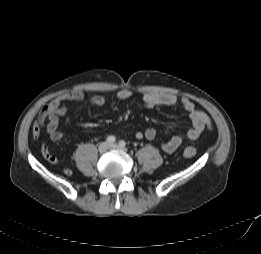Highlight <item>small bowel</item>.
Wrapping results in <instances>:
<instances>
[{"label": "small bowel", "mask_w": 261, "mask_h": 254, "mask_svg": "<svg viewBox=\"0 0 261 254\" xmlns=\"http://www.w3.org/2000/svg\"><path fill=\"white\" fill-rule=\"evenodd\" d=\"M132 92L128 89H121L117 92L119 99H128ZM85 99V94L80 90H71L64 92L50 102H48L40 111L37 119L32 125V138L38 140L45 123L46 130L51 140L60 141L64 133L59 130L60 117L67 113L66 102H78ZM90 101L97 105L103 106L106 102L105 97L100 94L92 95ZM180 105L187 113L191 120L192 127L185 132L177 134L169 140L162 143L161 148L166 153H173L185 140H196L206 129H211L212 123L209 117L201 110L197 109L195 104L188 98L179 97L169 92H145L142 94V107L144 109H153L160 106ZM137 139L146 138L153 140L156 137L154 128H147L145 131L135 133ZM41 153L43 157L51 164H58L60 160L54 156L46 144H42Z\"/></svg>", "instance_id": "c3829d8e"}]
</instances>
